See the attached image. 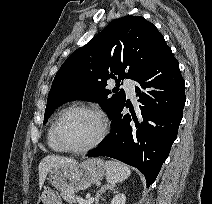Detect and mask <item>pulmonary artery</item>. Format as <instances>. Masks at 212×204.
Segmentation results:
<instances>
[{
	"label": "pulmonary artery",
	"mask_w": 212,
	"mask_h": 204,
	"mask_svg": "<svg viewBox=\"0 0 212 204\" xmlns=\"http://www.w3.org/2000/svg\"><path fill=\"white\" fill-rule=\"evenodd\" d=\"M124 87L126 89V91L128 92V94L133 97L134 93H135V82L131 79H126L124 81Z\"/></svg>",
	"instance_id": "e3ab8cb5"
}]
</instances>
